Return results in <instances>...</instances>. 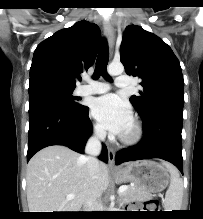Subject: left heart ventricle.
<instances>
[{
  "label": "left heart ventricle",
  "mask_w": 203,
  "mask_h": 219,
  "mask_svg": "<svg viewBox=\"0 0 203 219\" xmlns=\"http://www.w3.org/2000/svg\"><path fill=\"white\" fill-rule=\"evenodd\" d=\"M129 130H130V126L123 132V134H126V133H128L129 132Z\"/></svg>",
  "instance_id": "left-heart-ventricle-1"
}]
</instances>
